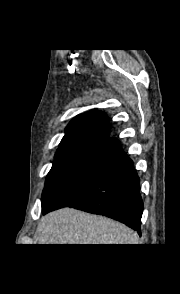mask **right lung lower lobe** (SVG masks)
<instances>
[{
    "label": "right lung lower lobe",
    "mask_w": 180,
    "mask_h": 294,
    "mask_svg": "<svg viewBox=\"0 0 180 294\" xmlns=\"http://www.w3.org/2000/svg\"><path fill=\"white\" fill-rule=\"evenodd\" d=\"M73 207L118 220L140 233L143 202L132 160L116 138H108L72 180L43 208V214Z\"/></svg>",
    "instance_id": "right-lung-lower-lobe-1"
}]
</instances>
